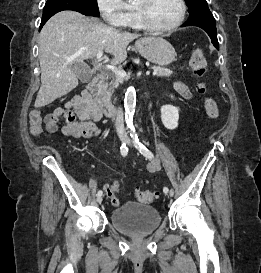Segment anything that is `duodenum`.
Returning <instances> with one entry per match:
<instances>
[{"label":"duodenum","instance_id":"1","mask_svg":"<svg viewBox=\"0 0 261 273\" xmlns=\"http://www.w3.org/2000/svg\"><path fill=\"white\" fill-rule=\"evenodd\" d=\"M106 75L101 73L96 75L83 91L82 97L90 106H93L105 116H113L116 113L115 105L103 93V85Z\"/></svg>","mask_w":261,"mask_h":273}]
</instances>
